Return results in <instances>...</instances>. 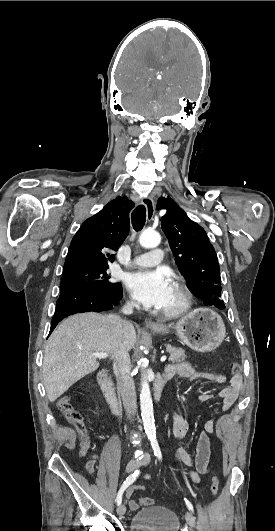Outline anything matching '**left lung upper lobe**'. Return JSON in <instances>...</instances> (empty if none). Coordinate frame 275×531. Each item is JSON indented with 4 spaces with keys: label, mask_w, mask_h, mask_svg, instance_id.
<instances>
[{
    "label": "left lung upper lobe",
    "mask_w": 275,
    "mask_h": 531,
    "mask_svg": "<svg viewBox=\"0 0 275 531\" xmlns=\"http://www.w3.org/2000/svg\"><path fill=\"white\" fill-rule=\"evenodd\" d=\"M157 209L166 210L161 227L191 293L205 305L224 309L218 258L204 229L170 197L159 198Z\"/></svg>",
    "instance_id": "left-lung-upper-lobe-1"
}]
</instances>
